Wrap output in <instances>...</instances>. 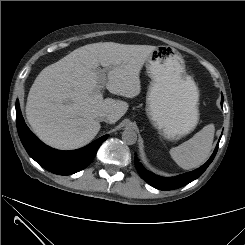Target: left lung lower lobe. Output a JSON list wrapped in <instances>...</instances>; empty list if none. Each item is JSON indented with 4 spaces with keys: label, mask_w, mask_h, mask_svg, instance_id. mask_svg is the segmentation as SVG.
<instances>
[{
    "label": "left lung lower lobe",
    "mask_w": 245,
    "mask_h": 245,
    "mask_svg": "<svg viewBox=\"0 0 245 245\" xmlns=\"http://www.w3.org/2000/svg\"><path fill=\"white\" fill-rule=\"evenodd\" d=\"M223 105V97L221 100V106ZM220 141V139H219ZM219 144V142H218ZM218 144L210 157V159L200 168L196 169L195 171L186 173L184 175H180L174 178H163L160 176H157L148 170H146L143 165L138 161V158L135 156L134 163L137 168V171L142 179H144L148 184L151 186L159 189V190H172L176 188H180L184 185H187L188 183L194 181L195 179L199 178L204 171L207 169V167L210 165V163L213 161L216 152L218 150Z\"/></svg>",
    "instance_id": "obj_1"
}]
</instances>
